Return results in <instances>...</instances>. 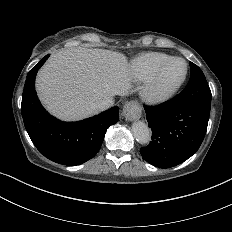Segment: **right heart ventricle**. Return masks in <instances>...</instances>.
I'll return each mask as SVG.
<instances>
[{"instance_id":"obj_1","label":"right heart ventricle","mask_w":232,"mask_h":232,"mask_svg":"<svg viewBox=\"0 0 232 232\" xmlns=\"http://www.w3.org/2000/svg\"><path fill=\"white\" fill-rule=\"evenodd\" d=\"M171 58L172 56L161 52L138 54L123 67V80L130 84L141 85L156 69Z\"/></svg>"}]
</instances>
